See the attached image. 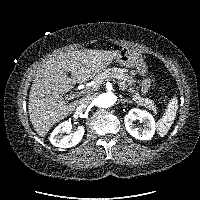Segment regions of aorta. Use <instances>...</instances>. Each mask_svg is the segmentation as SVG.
Instances as JSON below:
<instances>
[{
  "label": "aorta",
  "mask_w": 200,
  "mask_h": 200,
  "mask_svg": "<svg viewBox=\"0 0 200 200\" xmlns=\"http://www.w3.org/2000/svg\"><path fill=\"white\" fill-rule=\"evenodd\" d=\"M99 106L108 108L117 102V96L113 92H106L98 97Z\"/></svg>",
  "instance_id": "1"
}]
</instances>
